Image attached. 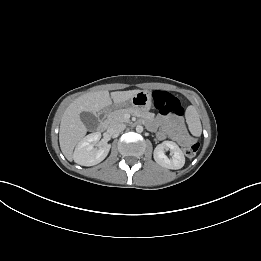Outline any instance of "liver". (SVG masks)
Returning <instances> with one entry per match:
<instances>
[{"label": "liver", "instance_id": "1", "mask_svg": "<svg viewBox=\"0 0 261 261\" xmlns=\"http://www.w3.org/2000/svg\"><path fill=\"white\" fill-rule=\"evenodd\" d=\"M141 90L116 91L106 90L86 93L75 99L64 111L60 123L59 143L64 156L72 161L73 150L87 133V128L81 121L82 112L98 113L112 103L119 105L128 101Z\"/></svg>", "mask_w": 261, "mask_h": 261}]
</instances>
